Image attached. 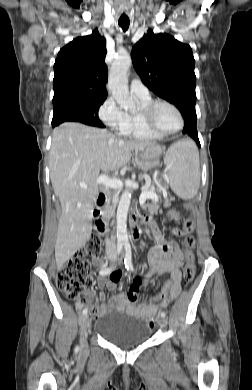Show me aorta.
I'll use <instances>...</instances> for the list:
<instances>
[{"label": "aorta", "instance_id": "762f6f07", "mask_svg": "<svg viewBox=\"0 0 252 390\" xmlns=\"http://www.w3.org/2000/svg\"><path fill=\"white\" fill-rule=\"evenodd\" d=\"M132 65V59L128 54L117 57L109 70L108 89L116 102L126 111H134L136 104L129 93L128 70ZM131 202V192L125 190L121 195L116 215L117 241L120 244L128 243L127 215Z\"/></svg>", "mask_w": 252, "mask_h": 390}]
</instances>
